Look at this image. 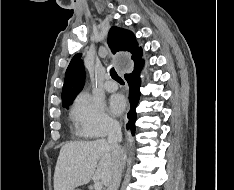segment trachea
<instances>
[{"mask_svg": "<svg viewBox=\"0 0 234 190\" xmlns=\"http://www.w3.org/2000/svg\"><path fill=\"white\" fill-rule=\"evenodd\" d=\"M110 75L111 77L116 80V81H122V79L120 78V76L117 74V72L115 71L114 68L110 69Z\"/></svg>", "mask_w": 234, "mask_h": 190, "instance_id": "obj_1", "label": "trachea"}]
</instances>
